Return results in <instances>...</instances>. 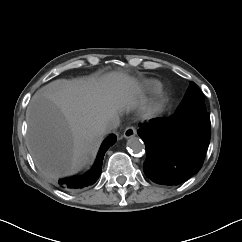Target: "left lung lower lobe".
<instances>
[{"label": "left lung lower lobe", "instance_id": "obj_1", "mask_svg": "<svg viewBox=\"0 0 242 242\" xmlns=\"http://www.w3.org/2000/svg\"><path fill=\"white\" fill-rule=\"evenodd\" d=\"M137 133L145 143V175L162 185H178L202 167L210 142V117L206 110L174 114L139 123Z\"/></svg>", "mask_w": 242, "mask_h": 242}]
</instances>
